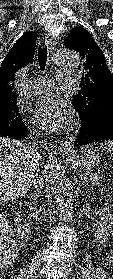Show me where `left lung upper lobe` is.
<instances>
[{"label": "left lung upper lobe", "mask_w": 113, "mask_h": 279, "mask_svg": "<svg viewBox=\"0 0 113 279\" xmlns=\"http://www.w3.org/2000/svg\"><path fill=\"white\" fill-rule=\"evenodd\" d=\"M64 45L79 52L83 60L82 89L73 97V103L86 105L89 112L99 105L113 108V75L92 35L83 27H76L65 38Z\"/></svg>", "instance_id": "1"}]
</instances>
